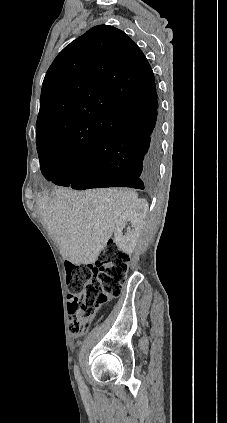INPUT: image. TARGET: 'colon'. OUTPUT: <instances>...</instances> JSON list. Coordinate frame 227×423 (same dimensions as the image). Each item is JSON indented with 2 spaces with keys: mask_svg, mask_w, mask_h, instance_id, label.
<instances>
[{
  "mask_svg": "<svg viewBox=\"0 0 227 423\" xmlns=\"http://www.w3.org/2000/svg\"><path fill=\"white\" fill-rule=\"evenodd\" d=\"M130 256L108 242L96 264L66 266L69 293V330L87 331L100 306L121 294L129 269Z\"/></svg>",
  "mask_w": 227,
  "mask_h": 423,
  "instance_id": "obj_1",
  "label": "colon"
}]
</instances>
